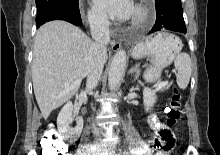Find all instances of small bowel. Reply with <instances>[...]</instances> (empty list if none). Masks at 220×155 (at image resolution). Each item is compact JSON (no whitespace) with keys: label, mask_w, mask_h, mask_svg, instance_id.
Here are the masks:
<instances>
[{"label":"small bowel","mask_w":220,"mask_h":155,"mask_svg":"<svg viewBox=\"0 0 220 155\" xmlns=\"http://www.w3.org/2000/svg\"><path fill=\"white\" fill-rule=\"evenodd\" d=\"M149 123L154 128L155 131H156V126L161 124L154 116L151 117Z\"/></svg>","instance_id":"c3829d8e"}]
</instances>
